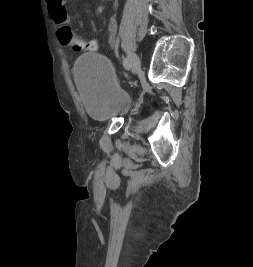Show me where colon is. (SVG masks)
I'll return each instance as SVG.
<instances>
[{"label":"colon","mask_w":253,"mask_h":267,"mask_svg":"<svg viewBox=\"0 0 253 267\" xmlns=\"http://www.w3.org/2000/svg\"><path fill=\"white\" fill-rule=\"evenodd\" d=\"M57 39L63 46L69 47L76 52H95L98 44L95 40H85L77 36L70 26H61L57 31Z\"/></svg>","instance_id":"1"}]
</instances>
